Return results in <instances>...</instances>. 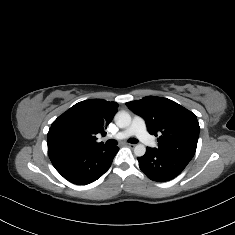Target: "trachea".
<instances>
[{
	"mask_svg": "<svg viewBox=\"0 0 235 235\" xmlns=\"http://www.w3.org/2000/svg\"><path fill=\"white\" fill-rule=\"evenodd\" d=\"M128 142H129V143H132V144H135V143L138 142V140L135 139V138H130V139L128 140ZM116 144H117V141H116V140H108V141L106 142V145H108V146H115Z\"/></svg>",
	"mask_w": 235,
	"mask_h": 235,
	"instance_id": "3493384b",
	"label": "trachea"
}]
</instances>
